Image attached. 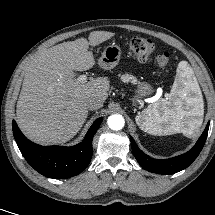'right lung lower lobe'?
<instances>
[{
  "label": "right lung lower lobe",
  "instance_id": "obj_1",
  "mask_svg": "<svg viewBox=\"0 0 215 215\" xmlns=\"http://www.w3.org/2000/svg\"><path fill=\"white\" fill-rule=\"evenodd\" d=\"M103 118L95 120L84 140L71 147L40 146L28 140L13 121V134L27 162L40 174L54 179L81 173L92 157V140Z\"/></svg>",
  "mask_w": 215,
  "mask_h": 215
}]
</instances>
